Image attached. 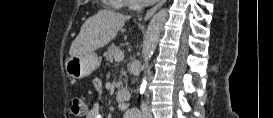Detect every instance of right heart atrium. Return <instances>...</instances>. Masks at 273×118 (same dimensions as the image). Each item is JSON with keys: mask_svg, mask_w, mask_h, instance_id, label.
<instances>
[{"mask_svg": "<svg viewBox=\"0 0 273 118\" xmlns=\"http://www.w3.org/2000/svg\"><path fill=\"white\" fill-rule=\"evenodd\" d=\"M120 3L125 8H135L136 7V1L135 0H120Z\"/></svg>", "mask_w": 273, "mask_h": 118, "instance_id": "obj_1", "label": "right heart atrium"}]
</instances>
